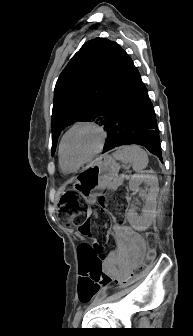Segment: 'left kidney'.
I'll return each mask as SVG.
<instances>
[{
	"label": "left kidney",
	"mask_w": 193,
	"mask_h": 336,
	"mask_svg": "<svg viewBox=\"0 0 193 336\" xmlns=\"http://www.w3.org/2000/svg\"><path fill=\"white\" fill-rule=\"evenodd\" d=\"M146 183L150 186L148 194L142 192L145 197V207L143 209V216L139 217L135 212L133 205H131L126 217L129 223L139 231L146 230L153 222L156 212V198L159 192L158 178L152 170L144 171L139 174H134L129 181V188L132 191L138 192L139 186Z\"/></svg>",
	"instance_id": "5707ae66"
}]
</instances>
